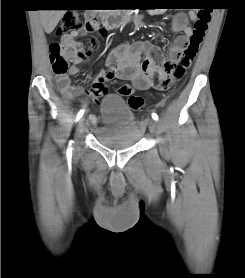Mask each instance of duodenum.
Listing matches in <instances>:
<instances>
[{
	"instance_id": "obj_1",
	"label": "duodenum",
	"mask_w": 245,
	"mask_h": 278,
	"mask_svg": "<svg viewBox=\"0 0 245 278\" xmlns=\"http://www.w3.org/2000/svg\"><path fill=\"white\" fill-rule=\"evenodd\" d=\"M136 19L137 18L132 14V12L129 11L125 13L106 14L100 18L99 26L106 29H112L125 23L136 21ZM82 94H84V91H74L70 96L74 98Z\"/></svg>"
}]
</instances>
